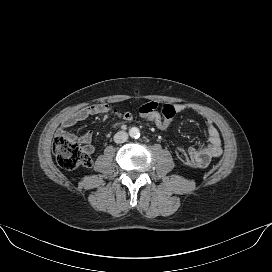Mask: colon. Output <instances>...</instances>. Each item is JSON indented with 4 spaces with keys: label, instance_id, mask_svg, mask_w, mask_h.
<instances>
[{
    "label": "colon",
    "instance_id": "5ec220e1",
    "mask_svg": "<svg viewBox=\"0 0 272 272\" xmlns=\"http://www.w3.org/2000/svg\"><path fill=\"white\" fill-rule=\"evenodd\" d=\"M176 113L175 106L165 104L159 108L141 106L136 112H133V115L135 119L147 121L159 130H167L171 126ZM53 151L58 164L65 170H73L79 166L89 167L92 164L91 157L86 149L69 137L57 136L53 143ZM175 155L182 164L193 168L198 167L184 148L177 147Z\"/></svg>",
    "mask_w": 272,
    "mask_h": 272
}]
</instances>
